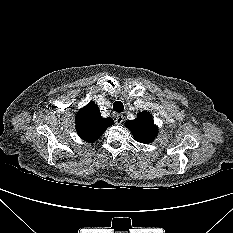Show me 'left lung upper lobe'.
<instances>
[{"instance_id":"5c2ea615","label":"left lung upper lobe","mask_w":233,"mask_h":233,"mask_svg":"<svg viewBox=\"0 0 233 233\" xmlns=\"http://www.w3.org/2000/svg\"><path fill=\"white\" fill-rule=\"evenodd\" d=\"M125 126L131 131L136 141L144 144L151 143L158 132L152 115L147 111L138 113L134 120L126 121Z\"/></svg>"}]
</instances>
